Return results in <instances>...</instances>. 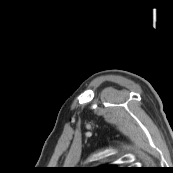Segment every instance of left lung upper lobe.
<instances>
[{
	"instance_id": "left-lung-upper-lobe-1",
	"label": "left lung upper lobe",
	"mask_w": 173,
	"mask_h": 173,
	"mask_svg": "<svg viewBox=\"0 0 173 173\" xmlns=\"http://www.w3.org/2000/svg\"><path fill=\"white\" fill-rule=\"evenodd\" d=\"M91 171L97 172V173H124L126 171V168L110 165V166H103V167H95V168H92Z\"/></svg>"
}]
</instances>
